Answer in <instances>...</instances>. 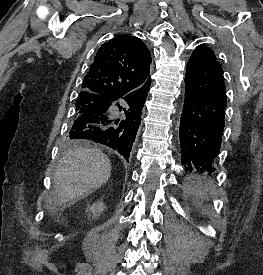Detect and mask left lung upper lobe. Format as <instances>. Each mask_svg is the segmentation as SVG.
I'll return each mask as SVG.
<instances>
[{
	"instance_id": "1",
	"label": "left lung upper lobe",
	"mask_w": 263,
	"mask_h": 275,
	"mask_svg": "<svg viewBox=\"0 0 263 275\" xmlns=\"http://www.w3.org/2000/svg\"><path fill=\"white\" fill-rule=\"evenodd\" d=\"M208 47H198V48H196L197 50L198 49H207Z\"/></svg>"
}]
</instances>
